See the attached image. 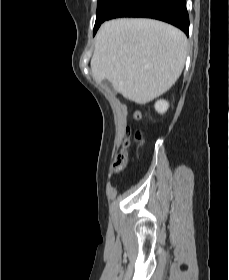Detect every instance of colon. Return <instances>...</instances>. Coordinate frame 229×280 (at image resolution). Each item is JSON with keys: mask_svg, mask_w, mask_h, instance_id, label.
<instances>
[{"mask_svg": "<svg viewBox=\"0 0 229 280\" xmlns=\"http://www.w3.org/2000/svg\"><path fill=\"white\" fill-rule=\"evenodd\" d=\"M143 138L141 130H129L128 131V138L124 142V148H128L132 142H140ZM130 160L129 155L126 151H122L115 162V169L116 171L123 170Z\"/></svg>", "mask_w": 229, "mask_h": 280, "instance_id": "1", "label": "colon"}]
</instances>
